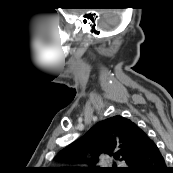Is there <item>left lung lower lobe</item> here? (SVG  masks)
<instances>
[{"label": "left lung lower lobe", "mask_w": 173, "mask_h": 173, "mask_svg": "<svg viewBox=\"0 0 173 173\" xmlns=\"http://www.w3.org/2000/svg\"><path fill=\"white\" fill-rule=\"evenodd\" d=\"M144 147L135 155L125 173H168V167L157 145L144 135Z\"/></svg>", "instance_id": "0a47b994"}]
</instances>
